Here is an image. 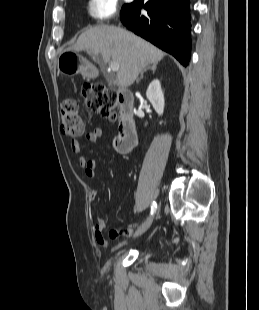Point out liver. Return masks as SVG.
I'll return each mask as SVG.
<instances>
[{
  "instance_id": "6515ba94",
  "label": "liver",
  "mask_w": 259,
  "mask_h": 310,
  "mask_svg": "<svg viewBox=\"0 0 259 310\" xmlns=\"http://www.w3.org/2000/svg\"><path fill=\"white\" fill-rule=\"evenodd\" d=\"M86 50L90 55H101L104 62L119 63L117 81L123 88L134 83L148 65L161 61L165 53L144 39L114 26H96L83 32L71 47Z\"/></svg>"
}]
</instances>
